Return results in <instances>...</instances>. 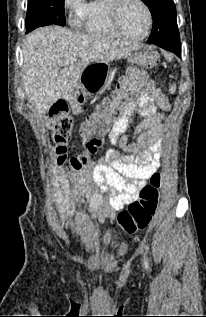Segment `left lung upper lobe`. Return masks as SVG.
<instances>
[{
    "label": "left lung upper lobe",
    "instance_id": "left-lung-upper-lobe-1",
    "mask_svg": "<svg viewBox=\"0 0 206 317\" xmlns=\"http://www.w3.org/2000/svg\"><path fill=\"white\" fill-rule=\"evenodd\" d=\"M153 17V30L149 38L152 44H180L173 0H142Z\"/></svg>",
    "mask_w": 206,
    "mask_h": 317
}]
</instances>
